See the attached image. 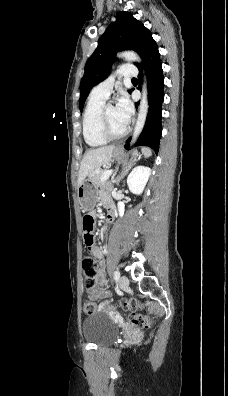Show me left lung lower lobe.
Masks as SVG:
<instances>
[{
  "label": "left lung lower lobe",
  "mask_w": 228,
  "mask_h": 396,
  "mask_svg": "<svg viewBox=\"0 0 228 396\" xmlns=\"http://www.w3.org/2000/svg\"><path fill=\"white\" fill-rule=\"evenodd\" d=\"M146 69L148 80V102L149 111L147 114L144 129L138 138L137 146H149L156 153L159 150V139L162 133V103L164 100V76L162 73V64L158 46L155 41L150 45L149 50L143 61V65L138 68L140 70L139 79L142 81V68ZM133 89L129 93L132 92ZM139 102L136 103V107ZM129 138L126 142L125 148L129 149Z\"/></svg>",
  "instance_id": "left-lung-lower-lobe-1"
}]
</instances>
